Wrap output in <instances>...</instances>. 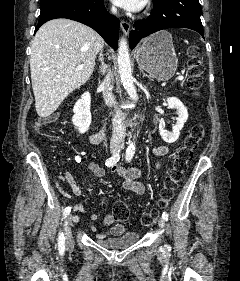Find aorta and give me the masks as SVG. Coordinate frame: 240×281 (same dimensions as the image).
<instances>
[{"mask_svg": "<svg viewBox=\"0 0 240 281\" xmlns=\"http://www.w3.org/2000/svg\"><path fill=\"white\" fill-rule=\"evenodd\" d=\"M118 68L123 87L127 91L130 98L137 101L138 95L134 85L132 76V68L127 40L122 37L118 43Z\"/></svg>", "mask_w": 240, "mask_h": 281, "instance_id": "obj_1", "label": "aorta"}]
</instances>
